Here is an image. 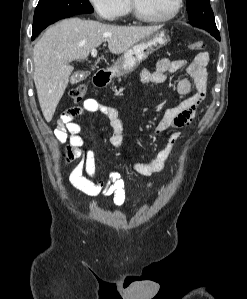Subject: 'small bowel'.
Instances as JSON below:
<instances>
[{"mask_svg":"<svg viewBox=\"0 0 247 299\" xmlns=\"http://www.w3.org/2000/svg\"><path fill=\"white\" fill-rule=\"evenodd\" d=\"M209 62V54L201 52L197 54L189 65L185 60H160L154 71L143 70L141 81L145 84H161L167 79L168 73H174L187 66V74L193 79V83L186 78L179 80L177 91L182 95H192L183 100L177 106L165 111L162 118L155 127V133L160 135L169 128H183L193 120L196 110L206 97V66ZM84 112L102 113L111 124L109 142L112 146L122 149L124 144V125L119 117L118 111L109 105H105L96 99L88 98L81 106H72L63 111L56 122L54 136L59 143L68 145L64 152V162L70 163L78 160L70 173L71 183L88 196L100 194L111 195L116 207L122 206L126 201L125 184L117 172H110L107 179L97 175L94 153L84 150V139L81 135V126L75 122V118ZM179 139V134L173 132L167 144L157 155L146 162L132 163V169L140 176H150L152 173L162 171L168 158L174 151ZM151 187V184H149Z\"/></svg>","mask_w":247,"mask_h":299,"instance_id":"obj_1","label":"small bowel"}]
</instances>
